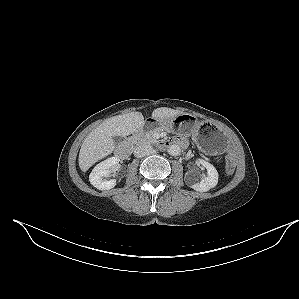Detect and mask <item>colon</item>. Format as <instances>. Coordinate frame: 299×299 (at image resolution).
I'll return each instance as SVG.
<instances>
[{"mask_svg": "<svg viewBox=\"0 0 299 299\" xmlns=\"http://www.w3.org/2000/svg\"><path fill=\"white\" fill-rule=\"evenodd\" d=\"M234 167H235L234 159L229 158V160L227 161V164H226V171L228 173H231L233 171Z\"/></svg>", "mask_w": 299, "mask_h": 299, "instance_id": "obj_1", "label": "colon"}]
</instances>
